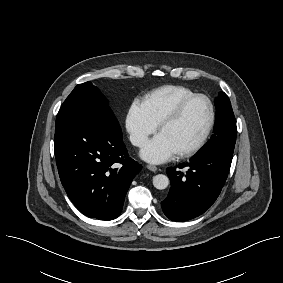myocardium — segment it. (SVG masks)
Here are the masks:
<instances>
[{"mask_svg": "<svg viewBox=\"0 0 283 283\" xmlns=\"http://www.w3.org/2000/svg\"><path fill=\"white\" fill-rule=\"evenodd\" d=\"M197 99H204L208 105H209V109H210V118H209V122L208 125L203 133V135L201 136V138L191 147L181 151L178 153V156L183 158V157H189L192 156L193 154H195L196 152H198L203 146L204 144L207 142L212 129L214 127L215 124V118H216V111H215V106L213 101L211 100L210 97H208L205 94H201V93H195L185 99H183L174 109L173 111L167 115L160 123H159V131L161 132L166 126L176 122L181 115L183 114L184 110L187 108V106L197 100Z\"/></svg>", "mask_w": 283, "mask_h": 283, "instance_id": "f54148a6", "label": "myocardium"}]
</instances>
